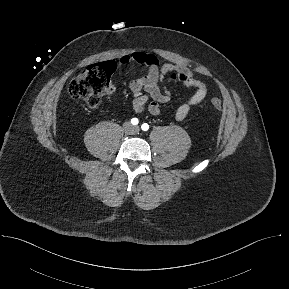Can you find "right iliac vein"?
<instances>
[{"instance_id":"63e3f726","label":"right iliac vein","mask_w":289,"mask_h":289,"mask_svg":"<svg viewBox=\"0 0 289 289\" xmlns=\"http://www.w3.org/2000/svg\"><path fill=\"white\" fill-rule=\"evenodd\" d=\"M124 129H125V131H131V129H132L131 124L129 122L125 123L124 124Z\"/></svg>"}]
</instances>
